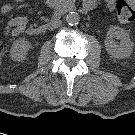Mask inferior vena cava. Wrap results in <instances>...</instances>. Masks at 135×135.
<instances>
[{"mask_svg":"<svg viewBox=\"0 0 135 135\" xmlns=\"http://www.w3.org/2000/svg\"><path fill=\"white\" fill-rule=\"evenodd\" d=\"M61 24H62V21L59 20V18H55L52 22H50L48 24V27H49V29L53 30V29L60 27Z\"/></svg>","mask_w":135,"mask_h":135,"instance_id":"1","label":"inferior vena cava"}]
</instances>
